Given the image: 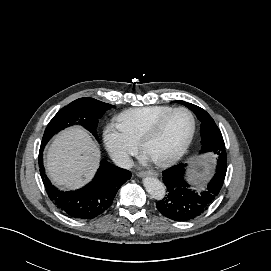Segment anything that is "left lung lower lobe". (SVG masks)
<instances>
[{
	"label": "left lung lower lobe",
	"mask_w": 271,
	"mask_h": 271,
	"mask_svg": "<svg viewBox=\"0 0 271 271\" xmlns=\"http://www.w3.org/2000/svg\"><path fill=\"white\" fill-rule=\"evenodd\" d=\"M222 168H216L215 176L208 183L207 189L197 194L189 190L184 180L185 166L183 163L172 166L163 172V183L168 195L157 202V209L166 217L175 221H188L200 216L219 195L223 186L226 171V156L221 158Z\"/></svg>",
	"instance_id": "0a47b994"
}]
</instances>
